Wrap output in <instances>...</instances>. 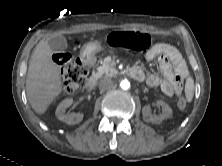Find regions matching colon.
Segmentation results:
<instances>
[{
    "mask_svg": "<svg viewBox=\"0 0 222 166\" xmlns=\"http://www.w3.org/2000/svg\"><path fill=\"white\" fill-rule=\"evenodd\" d=\"M108 43L113 47L128 48L143 51L151 45L149 35L138 32H114L108 37ZM61 74L64 78V89L67 94H73L85 87L87 82V68L85 64L68 53H59L55 56ZM180 110L185 109L186 100L177 101Z\"/></svg>",
    "mask_w": 222,
    "mask_h": 166,
    "instance_id": "1",
    "label": "colon"
}]
</instances>
